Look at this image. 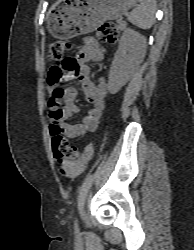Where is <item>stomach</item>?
<instances>
[{
	"label": "stomach",
	"mask_w": 194,
	"mask_h": 250,
	"mask_svg": "<svg viewBox=\"0 0 194 250\" xmlns=\"http://www.w3.org/2000/svg\"><path fill=\"white\" fill-rule=\"evenodd\" d=\"M138 0H59L50 10L48 30L66 40L96 30L104 21L117 19Z\"/></svg>",
	"instance_id": "0dacf381"
}]
</instances>
